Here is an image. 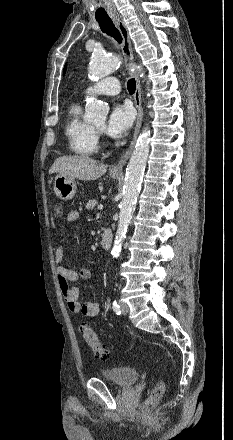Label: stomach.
Segmentation results:
<instances>
[{
    "label": "stomach",
    "instance_id": "0dacf381",
    "mask_svg": "<svg viewBox=\"0 0 233 440\" xmlns=\"http://www.w3.org/2000/svg\"><path fill=\"white\" fill-rule=\"evenodd\" d=\"M113 179H118L120 175L110 174ZM55 195L61 200H71L76 194V182L73 177L58 174L53 181Z\"/></svg>",
    "mask_w": 233,
    "mask_h": 440
}]
</instances>
